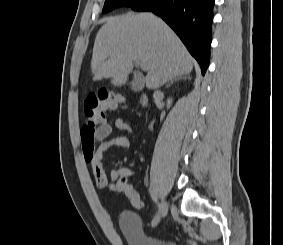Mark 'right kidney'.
Masks as SVG:
<instances>
[{
    "instance_id": "obj_1",
    "label": "right kidney",
    "mask_w": 283,
    "mask_h": 245,
    "mask_svg": "<svg viewBox=\"0 0 283 245\" xmlns=\"http://www.w3.org/2000/svg\"><path fill=\"white\" fill-rule=\"evenodd\" d=\"M171 102H172V100H171V99H168V100H167V105L170 106Z\"/></svg>"
}]
</instances>
